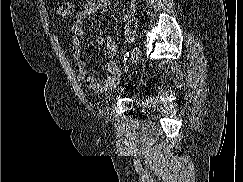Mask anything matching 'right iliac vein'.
Segmentation results:
<instances>
[{"label": "right iliac vein", "instance_id": "1", "mask_svg": "<svg viewBox=\"0 0 243 182\" xmlns=\"http://www.w3.org/2000/svg\"><path fill=\"white\" fill-rule=\"evenodd\" d=\"M139 56H140V49L138 47H135L131 53L132 64L138 60Z\"/></svg>", "mask_w": 243, "mask_h": 182}]
</instances>
